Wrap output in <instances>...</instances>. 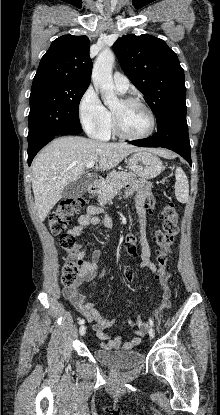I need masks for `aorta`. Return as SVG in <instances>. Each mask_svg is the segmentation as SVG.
Listing matches in <instances>:
<instances>
[{
	"label": "aorta",
	"instance_id": "aorta-1",
	"mask_svg": "<svg viewBox=\"0 0 220 415\" xmlns=\"http://www.w3.org/2000/svg\"><path fill=\"white\" fill-rule=\"evenodd\" d=\"M115 56L109 49L99 53L93 66L92 80L96 90L101 93V98L106 106L115 105L118 102L114 92L112 68Z\"/></svg>",
	"mask_w": 220,
	"mask_h": 415
}]
</instances>
